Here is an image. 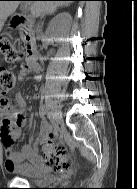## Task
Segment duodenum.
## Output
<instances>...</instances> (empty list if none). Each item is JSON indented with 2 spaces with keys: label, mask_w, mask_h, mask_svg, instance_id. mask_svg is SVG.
Here are the masks:
<instances>
[{
  "label": "duodenum",
  "mask_w": 137,
  "mask_h": 189,
  "mask_svg": "<svg viewBox=\"0 0 137 189\" xmlns=\"http://www.w3.org/2000/svg\"><path fill=\"white\" fill-rule=\"evenodd\" d=\"M34 24L35 22L32 19L23 15L16 16L11 20V27L21 31L28 57V67L31 70H37L39 68L37 65L38 53L33 33Z\"/></svg>",
  "instance_id": "410a0bca"
}]
</instances>
